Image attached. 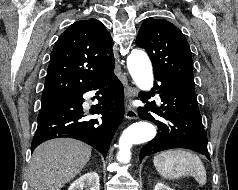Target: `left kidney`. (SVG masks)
I'll return each mask as SVG.
<instances>
[{
	"label": "left kidney",
	"mask_w": 238,
	"mask_h": 190,
	"mask_svg": "<svg viewBox=\"0 0 238 190\" xmlns=\"http://www.w3.org/2000/svg\"><path fill=\"white\" fill-rule=\"evenodd\" d=\"M154 190H174V189H172V188L166 186V185H165L164 183H162V182H159V183H157V184L155 185Z\"/></svg>",
	"instance_id": "left-kidney-1"
}]
</instances>
